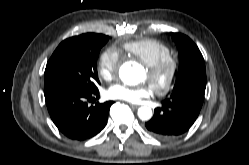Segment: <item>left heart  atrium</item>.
Listing matches in <instances>:
<instances>
[{
	"label": "left heart atrium",
	"instance_id": "obj_1",
	"mask_svg": "<svg viewBox=\"0 0 249 165\" xmlns=\"http://www.w3.org/2000/svg\"><path fill=\"white\" fill-rule=\"evenodd\" d=\"M152 92L153 88L150 84L129 86L123 83H115L109 87L107 95L112 99L138 103L142 99L149 97Z\"/></svg>",
	"mask_w": 249,
	"mask_h": 165
}]
</instances>
